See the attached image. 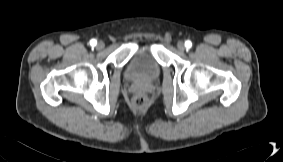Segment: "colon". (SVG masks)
Returning <instances> with one entry per match:
<instances>
[{
	"mask_svg": "<svg viewBox=\"0 0 283 162\" xmlns=\"http://www.w3.org/2000/svg\"><path fill=\"white\" fill-rule=\"evenodd\" d=\"M133 102L136 107L142 108L146 104V98L145 96L139 94L134 97Z\"/></svg>",
	"mask_w": 283,
	"mask_h": 162,
	"instance_id": "5ec220e1",
	"label": "colon"
}]
</instances>
